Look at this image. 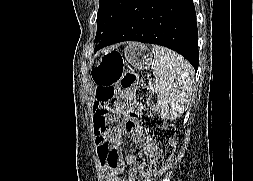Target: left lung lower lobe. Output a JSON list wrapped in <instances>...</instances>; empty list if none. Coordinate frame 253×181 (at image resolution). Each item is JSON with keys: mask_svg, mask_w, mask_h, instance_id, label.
Masks as SVG:
<instances>
[{"mask_svg": "<svg viewBox=\"0 0 253 181\" xmlns=\"http://www.w3.org/2000/svg\"><path fill=\"white\" fill-rule=\"evenodd\" d=\"M122 41L168 47L197 70L198 32L192 0H131L96 50Z\"/></svg>", "mask_w": 253, "mask_h": 181, "instance_id": "left-lung-lower-lobe-1", "label": "left lung lower lobe"}]
</instances>
